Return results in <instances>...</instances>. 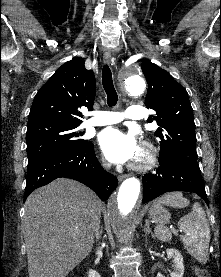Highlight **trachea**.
I'll return each instance as SVG.
<instances>
[{
  "label": "trachea",
  "instance_id": "3493384b",
  "mask_svg": "<svg viewBox=\"0 0 221 277\" xmlns=\"http://www.w3.org/2000/svg\"><path fill=\"white\" fill-rule=\"evenodd\" d=\"M102 83L107 94V103L110 107L115 106L118 101V95L115 90L112 73L108 65H105L102 70Z\"/></svg>",
  "mask_w": 221,
  "mask_h": 277
}]
</instances>
